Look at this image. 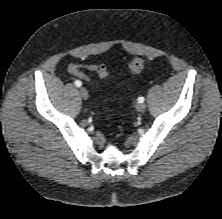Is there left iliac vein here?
Returning <instances> with one entry per match:
<instances>
[{"label":"left iliac vein","instance_id":"obj_1","mask_svg":"<svg viewBox=\"0 0 222 219\" xmlns=\"http://www.w3.org/2000/svg\"><path fill=\"white\" fill-rule=\"evenodd\" d=\"M135 107L137 111L143 112L146 109V104L143 102H138Z\"/></svg>","mask_w":222,"mask_h":219}]
</instances>
